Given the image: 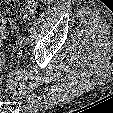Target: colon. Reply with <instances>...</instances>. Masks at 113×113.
Wrapping results in <instances>:
<instances>
[{
  "mask_svg": "<svg viewBox=\"0 0 113 113\" xmlns=\"http://www.w3.org/2000/svg\"><path fill=\"white\" fill-rule=\"evenodd\" d=\"M14 1H18V0H1L2 3H11ZM37 3H38V0H26L23 3V8H22L25 15H28V14L34 12L35 8L37 6ZM2 60H3V57L0 55V64H1Z\"/></svg>",
  "mask_w": 113,
  "mask_h": 113,
  "instance_id": "obj_1",
  "label": "colon"
}]
</instances>
